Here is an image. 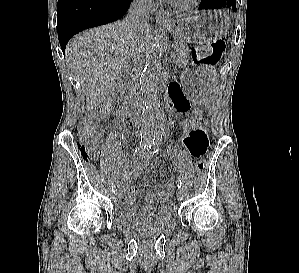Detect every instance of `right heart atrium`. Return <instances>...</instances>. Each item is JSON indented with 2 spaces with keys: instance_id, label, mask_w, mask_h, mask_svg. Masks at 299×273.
Listing matches in <instances>:
<instances>
[{
  "instance_id": "1",
  "label": "right heart atrium",
  "mask_w": 299,
  "mask_h": 273,
  "mask_svg": "<svg viewBox=\"0 0 299 273\" xmlns=\"http://www.w3.org/2000/svg\"><path fill=\"white\" fill-rule=\"evenodd\" d=\"M142 6H149L153 0H136Z\"/></svg>"
}]
</instances>
